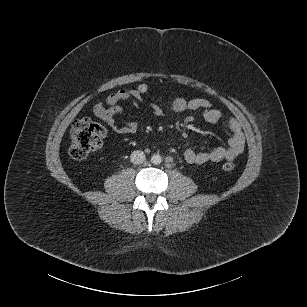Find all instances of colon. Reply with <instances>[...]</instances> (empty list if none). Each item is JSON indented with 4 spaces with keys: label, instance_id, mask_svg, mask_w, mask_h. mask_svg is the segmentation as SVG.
Instances as JSON below:
<instances>
[{
    "label": "colon",
    "instance_id": "obj_1",
    "mask_svg": "<svg viewBox=\"0 0 307 307\" xmlns=\"http://www.w3.org/2000/svg\"><path fill=\"white\" fill-rule=\"evenodd\" d=\"M105 137L102 125L89 117L76 120L70 132V154L79 161L86 160L92 153L99 150ZM224 171H233L235 165L226 162L222 165Z\"/></svg>",
    "mask_w": 307,
    "mask_h": 307
}]
</instances>
